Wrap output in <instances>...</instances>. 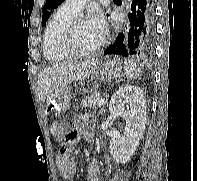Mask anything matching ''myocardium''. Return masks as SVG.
I'll return each mask as SVG.
<instances>
[{"instance_id":"myocardium-1","label":"myocardium","mask_w":197,"mask_h":181,"mask_svg":"<svg viewBox=\"0 0 197 181\" xmlns=\"http://www.w3.org/2000/svg\"><path fill=\"white\" fill-rule=\"evenodd\" d=\"M86 21L83 16H75L66 26L62 37V48L71 58H89L97 55L106 43V36L103 33L100 42L92 50L81 51L75 47L74 36L77 26Z\"/></svg>"}]
</instances>
